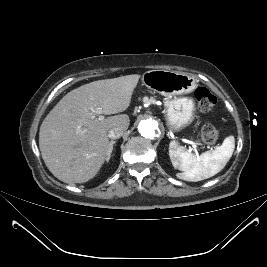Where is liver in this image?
I'll return each instance as SVG.
<instances>
[{
	"label": "liver",
	"instance_id": "liver-1",
	"mask_svg": "<svg viewBox=\"0 0 267 267\" xmlns=\"http://www.w3.org/2000/svg\"><path fill=\"white\" fill-rule=\"evenodd\" d=\"M140 75L94 81L68 92L48 113L39 131V148L50 172L65 183H84L94 178L110 153L108 132L124 131L129 116L119 114L99 120L102 114L124 112L131 103Z\"/></svg>",
	"mask_w": 267,
	"mask_h": 267
}]
</instances>
